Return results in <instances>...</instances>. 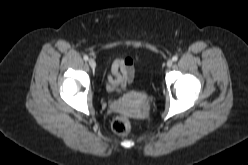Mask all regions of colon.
I'll list each match as a JSON object with an SVG mask.
<instances>
[{
    "label": "colon",
    "instance_id": "obj_1",
    "mask_svg": "<svg viewBox=\"0 0 248 165\" xmlns=\"http://www.w3.org/2000/svg\"><path fill=\"white\" fill-rule=\"evenodd\" d=\"M112 129L118 135H128L131 131V122L125 115H119L114 118Z\"/></svg>",
    "mask_w": 248,
    "mask_h": 165
}]
</instances>
